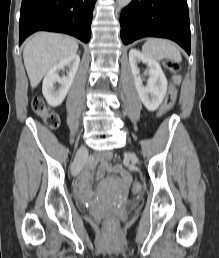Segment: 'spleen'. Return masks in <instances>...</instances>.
I'll use <instances>...</instances> for the list:
<instances>
[{
  "label": "spleen",
  "instance_id": "obj_1",
  "mask_svg": "<svg viewBox=\"0 0 219 258\" xmlns=\"http://www.w3.org/2000/svg\"><path fill=\"white\" fill-rule=\"evenodd\" d=\"M143 54L154 60L170 59L175 62L182 60L178 47L171 41L165 39H148L142 47Z\"/></svg>",
  "mask_w": 219,
  "mask_h": 258
}]
</instances>
